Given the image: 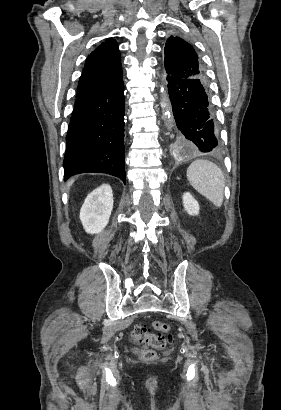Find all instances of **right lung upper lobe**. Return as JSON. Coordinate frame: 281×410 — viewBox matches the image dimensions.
Instances as JSON below:
<instances>
[{"label":"right lung upper lobe","instance_id":"right-lung-upper-lobe-1","mask_svg":"<svg viewBox=\"0 0 281 410\" xmlns=\"http://www.w3.org/2000/svg\"><path fill=\"white\" fill-rule=\"evenodd\" d=\"M122 81L121 58L114 39H107L87 58L77 99L110 89Z\"/></svg>","mask_w":281,"mask_h":410}]
</instances>
